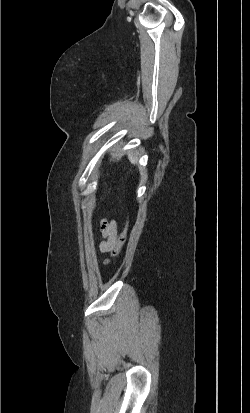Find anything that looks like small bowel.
<instances>
[{
  "label": "small bowel",
  "mask_w": 250,
  "mask_h": 413,
  "mask_svg": "<svg viewBox=\"0 0 250 413\" xmlns=\"http://www.w3.org/2000/svg\"><path fill=\"white\" fill-rule=\"evenodd\" d=\"M101 241L99 249L101 252H111L117 243V226L113 220L103 219L100 223Z\"/></svg>",
  "instance_id": "1"
}]
</instances>
